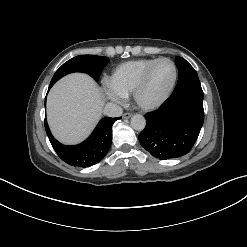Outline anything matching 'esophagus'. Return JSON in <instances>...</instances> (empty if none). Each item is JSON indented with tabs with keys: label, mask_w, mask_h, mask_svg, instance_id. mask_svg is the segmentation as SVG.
<instances>
[{
	"label": "esophagus",
	"mask_w": 247,
	"mask_h": 247,
	"mask_svg": "<svg viewBox=\"0 0 247 247\" xmlns=\"http://www.w3.org/2000/svg\"><path fill=\"white\" fill-rule=\"evenodd\" d=\"M132 116V113H124L123 114V118H125V119H128V118H130Z\"/></svg>",
	"instance_id": "esophagus-1"
}]
</instances>
